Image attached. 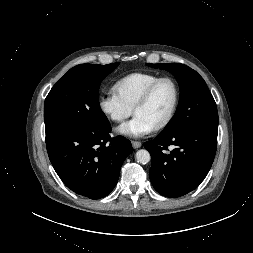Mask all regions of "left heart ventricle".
I'll use <instances>...</instances> for the list:
<instances>
[{"label":"left heart ventricle","mask_w":253,"mask_h":253,"mask_svg":"<svg viewBox=\"0 0 253 253\" xmlns=\"http://www.w3.org/2000/svg\"><path fill=\"white\" fill-rule=\"evenodd\" d=\"M174 101V88L169 81L161 82L148 102L137 109L136 115L143 117L153 127L168 115Z\"/></svg>","instance_id":"obj_1"}]
</instances>
